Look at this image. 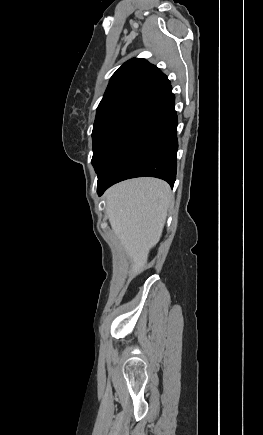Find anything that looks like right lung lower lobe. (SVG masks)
Segmentation results:
<instances>
[{"label": "right lung lower lobe", "instance_id": "obj_1", "mask_svg": "<svg viewBox=\"0 0 263 435\" xmlns=\"http://www.w3.org/2000/svg\"><path fill=\"white\" fill-rule=\"evenodd\" d=\"M171 85L143 105L98 174L97 191L134 177L176 178L177 115Z\"/></svg>", "mask_w": 263, "mask_h": 435}]
</instances>
